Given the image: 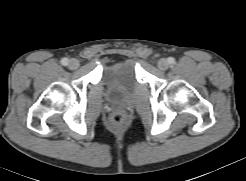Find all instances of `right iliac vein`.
<instances>
[{"label":"right iliac vein","instance_id":"63e3f726","mask_svg":"<svg viewBox=\"0 0 246 181\" xmlns=\"http://www.w3.org/2000/svg\"><path fill=\"white\" fill-rule=\"evenodd\" d=\"M70 69H77L79 67V61L77 59H71L68 63Z\"/></svg>","mask_w":246,"mask_h":181}]
</instances>
